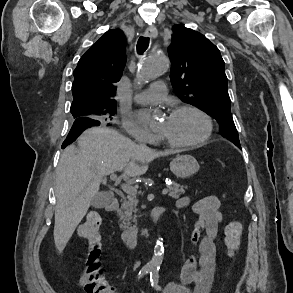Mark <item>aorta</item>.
<instances>
[{
  "label": "aorta",
  "instance_id": "obj_1",
  "mask_svg": "<svg viewBox=\"0 0 293 293\" xmlns=\"http://www.w3.org/2000/svg\"><path fill=\"white\" fill-rule=\"evenodd\" d=\"M168 67L167 57L160 52H151L142 60L137 77L140 81H150L161 76ZM164 247L161 241H157L154 248V255L148 263V268L156 272L162 263Z\"/></svg>",
  "mask_w": 293,
  "mask_h": 293
}]
</instances>
